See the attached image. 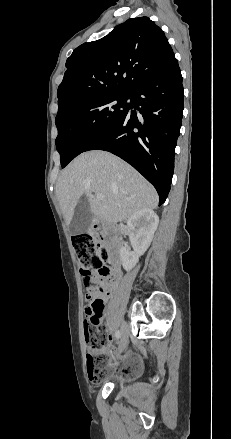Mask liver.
Listing matches in <instances>:
<instances>
[{
	"label": "liver",
	"instance_id": "1",
	"mask_svg": "<svg viewBox=\"0 0 231 439\" xmlns=\"http://www.w3.org/2000/svg\"><path fill=\"white\" fill-rule=\"evenodd\" d=\"M84 193L92 213L109 223L126 220L141 209H154L159 201L154 187L133 167L101 150L80 154L56 183V195L67 225ZM92 193H101L104 199L98 200Z\"/></svg>",
	"mask_w": 231,
	"mask_h": 439
}]
</instances>
